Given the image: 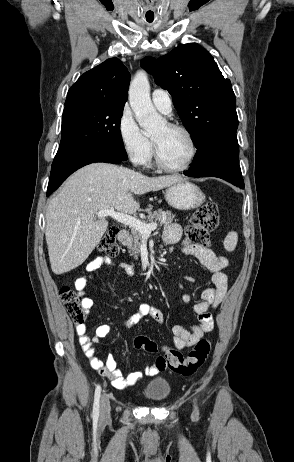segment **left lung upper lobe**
<instances>
[{
  "instance_id": "left-lung-upper-lobe-1",
  "label": "left lung upper lobe",
  "mask_w": 294,
  "mask_h": 462,
  "mask_svg": "<svg viewBox=\"0 0 294 462\" xmlns=\"http://www.w3.org/2000/svg\"><path fill=\"white\" fill-rule=\"evenodd\" d=\"M141 66L173 96L181 120L196 148L229 132H236V99L211 54L197 43L180 45L155 59L145 57Z\"/></svg>"
}]
</instances>
